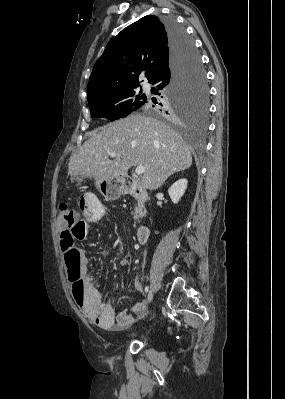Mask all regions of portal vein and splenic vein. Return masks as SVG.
<instances>
[{"label":"portal vein and splenic vein","mask_w":285,"mask_h":399,"mask_svg":"<svg viewBox=\"0 0 285 399\" xmlns=\"http://www.w3.org/2000/svg\"><path fill=\"white\" fill-rule=\"evenodd\" d=\"M116 155H117L116 153H111V154H110V157L114 158V157H116ZM145 170H146V167L140 165V166H137V167H136L135 173H136L137 175H141V174H143V173L145 172Z\"/></svg>","instance_id":"portal-vein-and-splenic-vein-1"}]
</instances>
